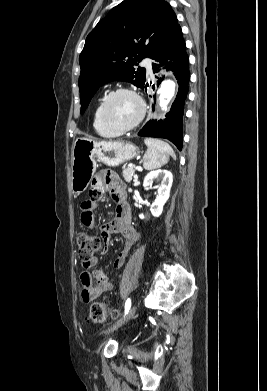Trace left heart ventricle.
Wrapping results in <instances>:
<instances>
[{
	"mask_svg": "<svg viewBox=\"0 0 267 391\" xmlns=\"http://www.w3.org/2000/svg\"><path fill=\"white\" fill-rule=\"evenodd\" d=\"M137 100L128 93L113 96L107 105V115L118 126L130 125L139 114Z\"/></svg>",
	"mask_w": 267,
	"mask_h": 391,
	"instance_id": "obj_1",
	"label": "left heart ventricle"
}]
</instances>
